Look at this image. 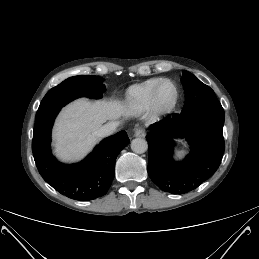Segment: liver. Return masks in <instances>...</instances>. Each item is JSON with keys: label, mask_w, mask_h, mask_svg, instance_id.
Returning <instances> with one entry per match:
<instances>
[{"label": "liver", "mask_w": 259, "mask_h": 259, "mask_svg": "<svg viewBox=\"0 0 259 259\" xmlns=\"http://www.w3.org/2000/svg\"><path fill=\"white\" fill-rule=\"evenodd\" d=\"M134 112L118 101L78 99L63 108L53 129L55 153L63 161L82 159L98 142L93 132L107 120Z\"/></svg>", "instance_id": "liver-1"}]
</instances>
